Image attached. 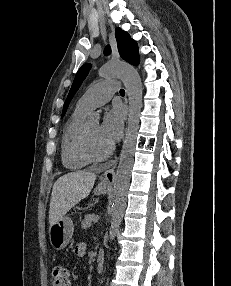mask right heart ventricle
I'll return each mask as SVG.
<instances>
[{
	"label": "right heart ventricle",
	"mask_w": 231,
	"mask_h": 286,
	"mask_svg": "<svg viewBox=\"0 0 231 286\" xmlns=\"http://www.w3.org/2000/svg\"><path fill=\"white\" fill-rule=\"evenodd\" d=\"M87 112L76 107L64 126L60 144V158L66 169L79 170L87 165V162L78 155L76 150L78 135L85 123Z\"/></svg>",
	"instance_id": "e07e8e85"
}]
</instances>
